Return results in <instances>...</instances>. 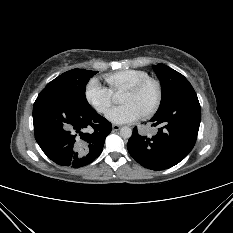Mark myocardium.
Segmentation results:
<instances>
[{"instance_id":"myocardium-1","label":"myocardium","mask_w":233,"mask_h":233,"mask_svg":"<svg viewBox=\"0 0 233 233\" xmlns=\"http://www.w3.org/2000/svg\"><path fill=\"white\" fill-rule=\"evenodd\" d=\"M149 84L155 85L156 90H157V96H156V99H155L153 105L144 114H142V117L145 119L153 116L158 111V109L161 105L162 98H163V88H162L161 82L157 78L149 76V77L144 78V79L138 81L137 83H135V84H133L125 89V91L139 93Z\"/></svg>"}]
</instances>
